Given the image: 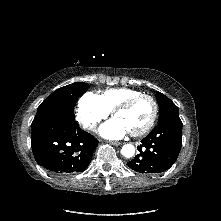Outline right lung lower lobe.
Segmentation results:
<instances>
[{"label":"right lung lower lobe","instance_id":"1","mask_svg":"<svg viewBox=\"0 0 221 221\" xmlns=\"http://www.w3.org/2000/svg\"><path fill=\"white\" fill-rule=\"evenodd\" d=\"M70 114L56 113L31 127L37 163L60 175L84 171L98 145V140L79 128Z\"/></svg>","mask_w":221,"mask_h":221}]
</instances>
